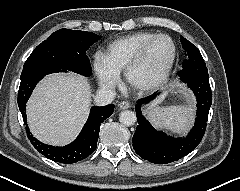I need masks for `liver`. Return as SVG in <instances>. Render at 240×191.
Masks as SVG:
<instances>
[{"instance_id": "6515ba94", "label": "liver", "mask_w": 240, "mask_h": 191, "mask_svg": "<svg viewBox=\"0 0 240 191\" xmlns=\"http://www.w3.org/2000/svg\"><path fill=\"white\" fill-rule=\"evenodd\" d=\"M91 96V86L83 76L74 73L47 76L27 103L30 131L46 144L70 143L87 120Z\"/></svg>"}]
</instances>
